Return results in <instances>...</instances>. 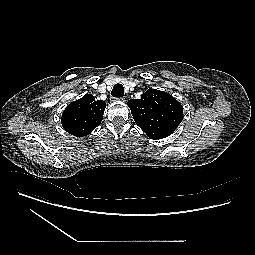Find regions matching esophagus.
Here are the masks:
<instances>
[{"label":"esophagus","mask_w":255,"mask_h":255,"mask_svg":"<svg viewBox=\"0 0 255 255\" xmlns=\"http://www.w3.org/2000/svg\"><path fill=\"white\" fill-rule=\"evenodd\" d=\"M117 101H120V102H125V98L124 97H121V98H116Z\"/></svg>","instance_id":"34e87169"}]
</instances>
